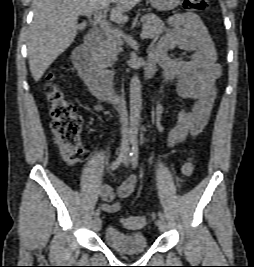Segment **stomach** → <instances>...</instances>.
<instances>
[{
  "label": "stomach",
  "mask_w": 254,
  "mask_h": 267,
  "mask_svg": "<svg viewBox=\"0 0 254 267\" xmlns=\"http://www.w3.org/2000/svg\"><path fill=\"white\" fill-rule=\"evenodd\" d=\"M149 2L158 11H170L176 8L181 0H149Z\"/></svg>",
  "instance_id": "stomach-1"
}]
</instances>
